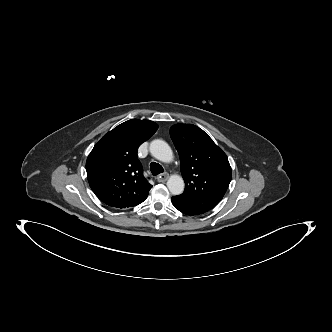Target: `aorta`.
I'll return each mask as SVG.
<instances>
[{"label":"aorta","mask_w":332,"mask_h":332,"mask_svg":"<svg viewBox=\"0 0 332 332\" xmlns=\"http://www.w3.org/2000/svg\"><path fill=\"white\" fill-rule=\"evenodd\" d=\"M151 155L159 161L170 163L173 160V152L170 146L163 140L155 139L150 143ZM167 187L172 195H180L184 191V180L179 175H171L167 181Z\"/></svg>","instance_id":"obj_1"}]
</instances>
